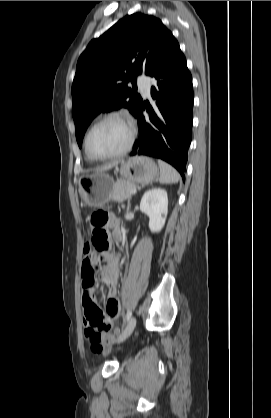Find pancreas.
Returning a JSON list of instances; mask_svg holds the SVG:
<instances>
[{
	"mask_svg": "<svg viewBox=\"0 0 271 418\" xmlns=\"http://www.w3.org/2000/svg\"><path fill=\"white\" fill-rule=\"evenodd\" d=\"M136 188V184L119 180L115 183L111 199L117 202H123L132 196L131 190Z\"/></svg>",
	"mask_w": 271,
	"mask_h": 418,
	"instance_id": "1",
	"label": "pancreas"
}]
</instances>
